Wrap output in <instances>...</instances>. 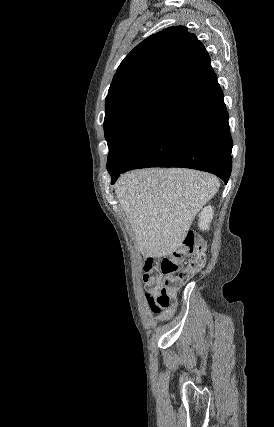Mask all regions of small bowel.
Returning a JSON list of instances; mask_svg holds the SVG:
<instances>
[{"label": "small bowel", "mask_w": 274, "mask_h": 427, "mask_svg": "<svg viewBox=\"0 0 274 427\" xmlns=\"http://www.w3.org/2000/svg\"><path fill=\"white\" fill-rule=\"evenodd\" d=\"M173 311H174V309H171V310H169V311H166L165 313H163V314H161V315H159V316H157V320H163V319H166L167 317H169L172 313H173Z\"/></svg>", "instance_id": "obj_1"}]
</instances>
